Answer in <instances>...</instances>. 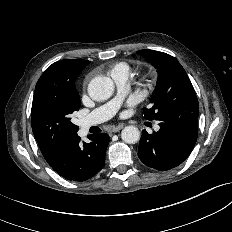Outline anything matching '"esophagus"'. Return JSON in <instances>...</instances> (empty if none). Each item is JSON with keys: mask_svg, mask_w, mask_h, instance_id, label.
<instances>
[{"mask_svg": "<svg viewBox=\"0 0 232 232\" xmlns=\"http://www.w3.org/2000/svg\"><path fill=\"white\" fill-rule=\"evenodd\" d=\"M122 128H123V125L113 126L110 128V132L116 133V132L120 131Z\"/></svg>", "mask_w": 232, "mask_h": 232, "instance_id": "34e87169", "label": "esophagus"}]
</instances>
